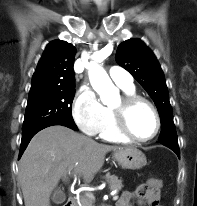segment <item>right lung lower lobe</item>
<instances>
[{"label":"right lung lower lobe","mask_w":197,"mask_h":206,"mask_svg":"<svg viewBox=\"0 0 197 206\" xmlns=\"http://www.w3.org/2000/svg\"><path fill=\"white\" fill-rule=\"evenodd\" d=\"M52 125H62V126H66L72 130H78L77 126L75 125H70V124H65V123H50V124H44L41 125L35 129H32L28 132L22 133V140H21V146H20V152H19V158L21 157V155L23 154V152L25 151L27 145L29 144L30 140L32 139V137L39 132L40 130L52 126Z\"/></svg>","instance_id":"1"}]
</instances>
